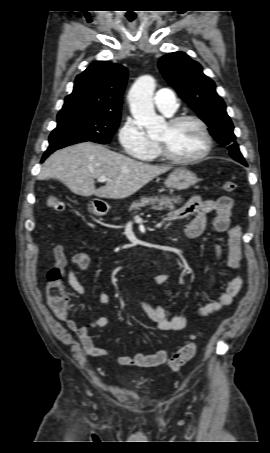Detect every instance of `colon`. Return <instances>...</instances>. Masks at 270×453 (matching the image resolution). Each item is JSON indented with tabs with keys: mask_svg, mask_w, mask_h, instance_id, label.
<instances>
[{
	"mask_svg": "<svg viewBox=\"0 0 270 453\" xmlns=\"http://www.w3.org/2000/svg\"><path fill=\"white\" fill-rule=\"evenodd\" d=\"M221 188L225 192H233L236 190L237 185L234 181L227 180L223 181ZM47 205L51 209L61 212L64 210V203L55 195H49L47 198ZM62 275L58 268H52L47 275V297L48 305L53 313L57 316H65L68 314L70 303L69 296L64 288L62 283ZM200 338V335L193 337V340L179 350H177L168 360L167 366L171 370H178L183 365H185L189 360H191L197 351V339Z\"/></svg>",
	"mask_w": 270,
	"mask_h": 453,
	"instance_id": "5ec220e1",
	"label": "colon"
}]
</instances>
